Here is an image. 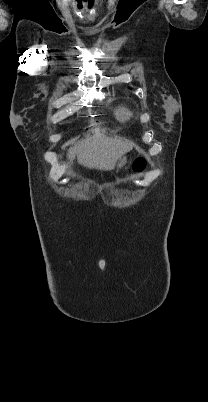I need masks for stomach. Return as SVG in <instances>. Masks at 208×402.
<instances>
[{"label": "stomach", "instance_id": "1", "mask_svg": "<svg viewBox=\"0 0 208 402\" xmlns=\"http://www.w3.org/2000/svg\"><path fill=\"white\" fill-rule=\"evenodd\" d=\"M126 162H127L126 156H121V158H119V160H117L116 162V168H123Z\"/></svg>", "mask_w": 208, "mask_h": 402}]
</instances>
